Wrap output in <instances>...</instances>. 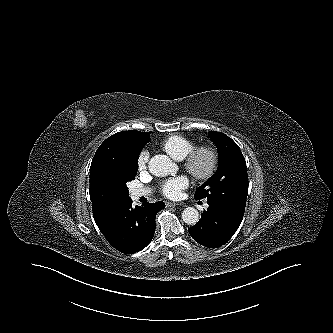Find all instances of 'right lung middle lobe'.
I'll use <instances>...</instances> for the list:
<instances>
[{
  "label": "right lung middle lobe",
  "mask_w": 333,
  "mask_h": 333,
  "mask_svg": "<svg viewBox=\"0 0 333 333\" xmlns=\"http://www.w3.org/2000/svg\"><path fill=\"white\" fill-rule=\"evenodd\" d=\"M141 150L136 151L131 159L127 161L125 164H123L119 179H118V185L119 189L122 192V194L125 196L126 199H130L129 197V191L127 188L126 183L129 181L134 180L137 171H138V157Z\"/></svg>",
  "instance_id": "obj_1"
}]
</instances>
